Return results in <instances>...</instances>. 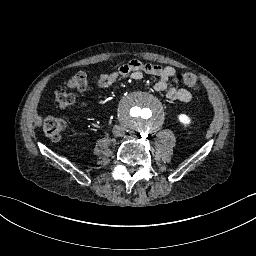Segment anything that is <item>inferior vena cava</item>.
I'll return each mask as SVG.
<instances>
[{"instance_id": "1", "label": "inferior vena cava", "mask_w": 256, "mask_h": 256, "mask_svg": "<svg viewBox=\"0 0 256 256\" xmlns=\"http://www.w3.org/2000/svg\"><path fill=\"white\" fill-rule=\"evenodd\" d=\"M112 132H113V135H114V136H116V137H122V136H124V134H125V128L122 127L121 125H115V126L113 127Z\"/></svg>"}]
</instances>
